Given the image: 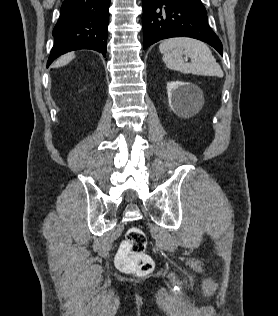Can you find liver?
<instances>
[{
    "instance_id": "6515ba94",
    "label": "liver",
    "mask_w": 278,
    "mask_h": 316,
    "mask_svg": "<svg viewBox=\"0 0 278 316\" xmlns=\"http://www.w3.org/2000/svg\"><path fill=\"white\" fill-rule=\"evenodd\" d=\"M75 57L74 53H68L66 55H63L62 57H60L55 64L53 65V67H62L67 65L70 61H72V59Z\"/></svg>"
}]
</instances>
